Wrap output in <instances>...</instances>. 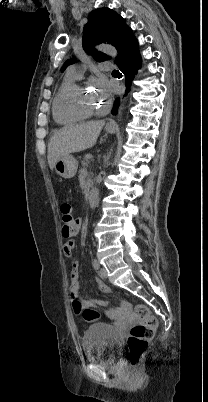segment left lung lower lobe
Masks as SVG:
<instances>
[{
    "label": "left lung lower lobe",
    "mask_w": 208,
    "mask_h": 402,
    "mask_svg": "<svg viewBox=\"0 0 208 402\" xmlns=\"http://www.w3.org/2000/svg\"><path fill=\"white\" fill-rule=\"evenodd\" d=\"M115 63L126 77V90L130 91L131 82L141 66L140 55L138 51V41L134 37L132 30L129 29L119 49L118 57ZM119 107V98L114 102L112 114H117Z\"/></svg>",
    "instance_id": "1"
}]
</instances>
